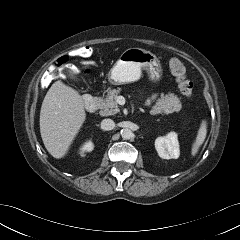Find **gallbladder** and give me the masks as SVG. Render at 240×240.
Here are the masks:
<instances>
[{"instance_id": "1", "label": "gallbladder", "mask_w": 240, "mask_h": 240, "mask_svg": "<svg viewBox=\"0 0 240 240\" xmlns=\"http://www.w3.org/2000/svg\"><path fill=\"white\" fill-rule=\"evenodd\" d=\"M67 75L69 78L73 79V80H77L76 74H77V70L76 69H69L67 70Z\"/></svg>"}]
</instances>
